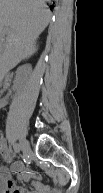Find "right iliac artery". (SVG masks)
I'll list each match as a JSON object with an SVG mask.
<instances>
[{"label":"right iliac artery","mask_w":103,"mask_h":193,"mask_svg":"<svg viewBox=\"0 0 103 193\" xmlns=\"http://www.w3.org/2000/svg\"><path fill=\"white\" fill-rule=\"evenodd\" d=\"M14 151L16 153H19L20 152V145L19 144H14Z\"/></svg>","instance_id":"obj_1"}]
</instances>
